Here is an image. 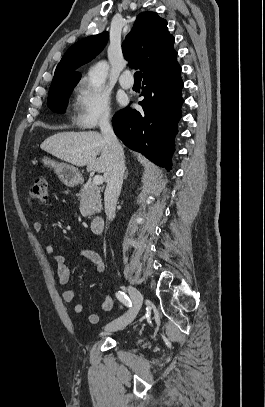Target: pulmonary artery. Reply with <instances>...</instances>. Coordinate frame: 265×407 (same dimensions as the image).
I'll list each match as a JSON object with an SVG mask.
<instances>
[{"instance_id":"1","label":"pulmonary artery","mask_w":265,"mask_h":407,"mask_svg":"<svg viewBox=\"0 0 265 407\" xmlns=\"http://www.w3.org/2000/svg\"><path fill=\"white\" fill-rule=\"evenodd\" d=\"M130 74H131L130 71L126 70L122 73V75L119 78V84L124 89H130L134 84L133 80L129 78Z\"/></svg>"}]
</instances>
